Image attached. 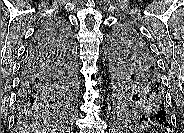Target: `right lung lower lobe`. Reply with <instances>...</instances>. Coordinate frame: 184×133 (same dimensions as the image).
Masks as SVG:
<instances>
[{
	"instance_id": "obj_1",
	"label": "right lung lower lobe",
	"mask_w": 184,
	"mask_h": 133,
	"mask_svg": "<svg viewBox=\"0 0 184 133\" xmlns=\"http://www.w3.org/2000/svg\"><path fill=\"white\" fill-rule=\"evenodd\" d=\"M56 20H48L35 33L22 61L17 103L35 105L51 99L67 73V57L74 48Z\"/></svg>"
}]
</instances>
